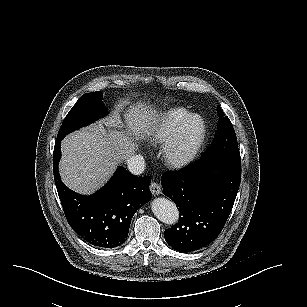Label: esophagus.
<instances>
[{"mask_svg": "<svg viewBox=\"0 0 307 307\" xmlns=\"http://www.w3.org/2000/svg\"><path fill=\"white\" fill-rule=\"evenodd\" d=\"M150 190L153 195H159L161 194V186L157 182H151L150 184Z\"/></svg>", "mask_w": 307, "mask_h": 307, "instance_id": "1", "label": "esophagus"}]
</instances>
